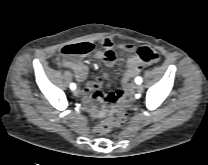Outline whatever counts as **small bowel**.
<instances>
[{
	"instance_id": "small-bowel-1",
	"label": "small bowel",
	"mask_w": 208,
	"mask_h": 165,
	"mask_svg": "<svg viewBox=\"0 0 208 165\" xmlns=\"http://www.w3.org/2000/svg\"><path fill=\"white\" fill-rule=\"evenodd\" d=\"M85 43L89 44L92 47V51H93L94 45L90 42H85ZM98 43L104 50H97L94 54L95 59L98 60L99 62H102L105 65L108 66L112 65L115 62V54L113 51L114 48L113 40L110 37H101L98 40ZM119 48L129 53L135 51V46L133 45H119ZM129 59H128V63H129ZM61 65L65 68L71 69L75 73V76L78 81L83 82L86 79L87 66L85 65L81 57H76L72 59H61ZM139 72L140 70L135 72L134 75L131 77H128L124 74L122 81L124 86L128 89V92L131 89L130 80L132 78H135ZM102 82H103V77L101 76L97 77L94 81L88 83L85 87H83L82 95L85 98L93 97L95 100L100 102H105L107 104H117L121 100L120 90L123 87L122 82L120 80H113L110 84L111 88L106 93V95H103L99 91ZM101 111H103V109H100V112Z\"/></svg>"
}]
</instances>
